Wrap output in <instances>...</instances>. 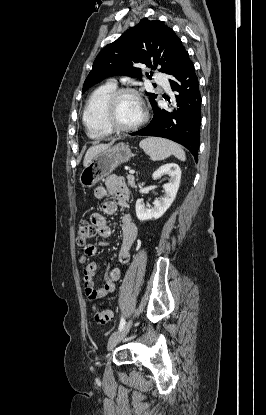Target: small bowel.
I'll list each match as a JSON object with an SVG mask.
<instances>
[{
	"label": "small bowel",
	"instance_id": "obj_1",
	"mask_svg": "<svg viewBox=\"0 0 266 415\" xmlns=\"http://www.w3.org/2000/svg\"><path fill=\"white\" fill-rule=\"evenodd\" d=\"M94 196L97 199H103L106 196H111L116 201H106L102 205V213H93L91 215V222L95 226L99 236L107 238L111 235V228L106 219L107 216H112L117 213L119 207L124 208L129 196V189L120 176H110L107 178L104 185L98 186L94 190ZM122 229V245L118 254V260L121 264H126L130 258V248L135 242L138 234L137 226L132 221L128 213H123L121 216ZM100 245H104L101 243ZM97 246L88 244L84 246L83 253L80 256V263L84 264L88 257L95 255ZM97 270L95 262L86 263L83 269V281L86 297L93 301L113 293L116 290V282L121 277L120 268L108 267L104 275L103 286L96 288L94 285V276Z\"/></svg>",
	"mask_w": 266,
	"mask_h": 415
}]
</instances>
